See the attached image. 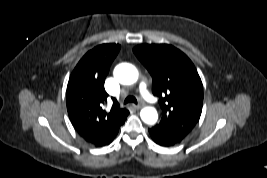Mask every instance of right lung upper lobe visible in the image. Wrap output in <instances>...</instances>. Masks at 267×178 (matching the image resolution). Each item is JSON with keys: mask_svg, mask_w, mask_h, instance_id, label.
I'll use <instances>...</instances> for the list:
<instances>
[{"mask_svg": "<svg viewBox=\"0 0 267 178\" xmlns=\"http://www.w3.org/2000/svg\"><path fill=\"white\" fill-rule=\"evenodd\" d=\"M119 50L118 44H102L90 50L76 65L68 82L69 118L78 134L89 143L103 140L129 114L116 103L108 112L102 108L108 97L105 78Z\"/></svg>", "mask_w": 267, "mask_h": 178, "instance_id": "right-lung-upper-lobe-1", "label": "right lung upper lobe"}]
</instances>
